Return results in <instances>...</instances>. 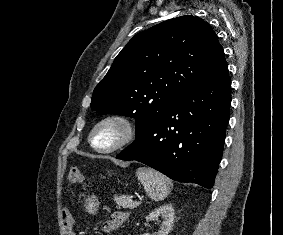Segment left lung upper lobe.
I'll return each mask as SVG.
<instances>
[{"instance_id": "obj_1", "label": "left lung upper lobe", "mask_w": 283, "mask_h": 235, "mask_svg": "<svg viewBox=\"0 0 283 235\" xmlns=\"http://www.w3.org/2000/svg\"><path fill=\"white\" fill-rule=\"evenodd\" d=\"M226 63L204 20L181 16L136 34L96 86L92 110L136 118L140 137L189 87Z\"/></svg>"}]
</instances>
